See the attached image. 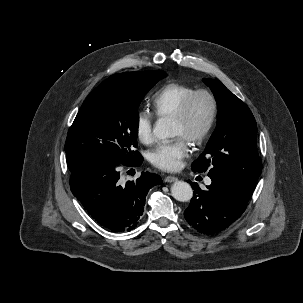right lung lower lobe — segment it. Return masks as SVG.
Returning a JSON list of instances; mask_svg holds the SVG:
<instances>
[{
	"instance_id": "obj_1",
	"label": "right lung lower lobe",
	"mask_w": 303,
	"mask_h": 303,
	"mask_svg": "<svg viewBox=\"0 0 303 303\" xmlns=\"http://www.w3.org/2000/svg\"><path fill=\"white\" fill-rule=\"evenodd\" d=\"M143 158L132 164H116L102 159H88L70 170L73 195L103 227L114 232L134 229L143 214L145 197L162 179L142 172L136 181L120 185V167L139 166Z\"/></svg>"
}]
</instances>
